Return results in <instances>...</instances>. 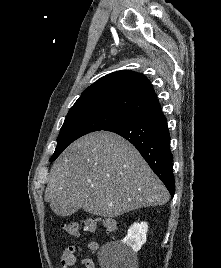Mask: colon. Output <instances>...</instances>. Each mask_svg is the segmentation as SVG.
Instances as JSON below:
<instances>
[{
	"label": "colon",
	"mask_w": 221,
	"mask_h": 268,
	"mask_svg": "<svg viewBox=\"0 0 221 268\" xmlns=\"http://www.w3.org/2000/svg\"><path fill=\"white\" fill-rule=\"evenodd\" d=\"M98 224H101L108 231H115L118 223L111 218H88L84 221L83 229L88 233H93ZM63 229L72 237L81 235L80 227L77 223H64Z\"/></svg>",
	"instance_id": "obj_1"
}]
</instances>
